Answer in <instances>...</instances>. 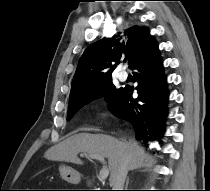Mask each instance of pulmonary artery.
Wrapping results in <instances>:
<instances>
[{"instance_id":"1","label":"pulmonary artery","mask_w":210,"mask_h":191,"mask_svg":"<svg viewBox=\"0 0 210 191\" xmlns=\"http://www.w3.org/2000/svg\"><path fill=\"white\" fill-rule=\"evenodd\" d=\"M118 77L121 81H125L128 77V74L126 72H121V73H119Z\"/></svg>"}]
</instances>
